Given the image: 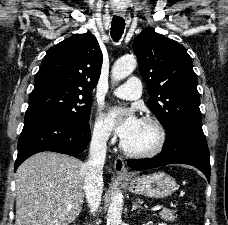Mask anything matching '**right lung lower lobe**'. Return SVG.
<instances>
[{
	"instance_id": "right-lung-lower-lobe-1",
	"label": "right lung lower lobe",
	"mask_w": 228,
	"mask_h": 225,
	"mask_svg": "<svg viewBox=\"0 0 228 225\" xmlns=\"http://www.w3.org/2000/svg\"><path fill=\"white\" fill-rule=\"evenodd\" d=\"M89 141L88 123L55 114L26 117L18 141L14 171L35 153L53 151L75 156L84 151Z\"/></svg>"
}]
</instances>
